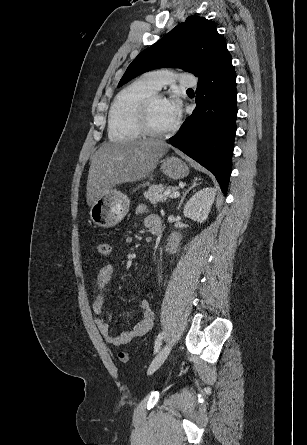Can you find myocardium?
<instances>
[{
	"instance_id": "1",
	"label": "myocardium",
	"mask_w": 307,
	"mask_h": 445,
	"mask_svg": "<svg viewBox=\"0 0 307 445\" xmlns=\"http://www.w3.org/2000/svg\"><path fill=\"white\" fill-rule=\"evenodd\" d=\"M159 98L163 99V96L155 91L151 95L145 98V100L139 106V117L144 130V134L149 135L146 139H159V136L172 135L179 127V122L175 121L174 125L164 131L156 129L150 119V110L153 102Z\"/></svg>"
}]
</instances>
